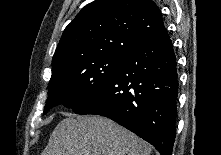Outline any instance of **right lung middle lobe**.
Wrapping results in <instances>:
<instances>
[{"mask_svg":"<svg viewBox=\"0 0 221 155\" xmlns=\"http://www.w3.org/2000/svg\"><path fill=\"white\" fill-rule=\"evenodd\" d=\"M125 56L110 54L81 59L52 74L44 114L61 103L78 114L109 82Z\"/></svg>","mask_w":221,"mask_h":155,"instance_id":"dd1d6c3e","label":"right lung middle lobe"}]
</instances>
